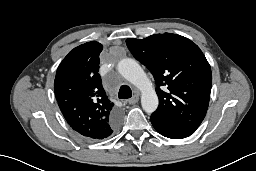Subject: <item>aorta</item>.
Segmentation results:
<instances>
[{
  "label": "aorta",
  "mask_w": 256,
  "mask_h": 171,
  "mask_svg": "<svg viewBox=\"0 0 256 171\" xmlns=\"http://www.w3.org/2000/svg\"><path fill=\"white\" fill-rule=\"evenodd\" d=\"M118 72L141 91V105L145 112L153 113L158 107V96L141 66L131 58H124L117 65Z\"/></svg>",
  "instance_id": "1"
}]
</instances>
